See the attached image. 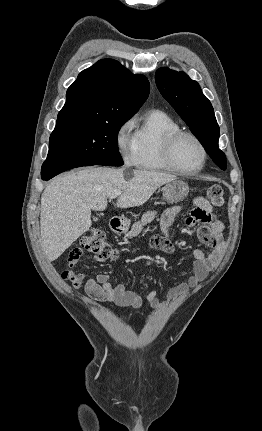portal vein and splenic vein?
Instances as JSON below:
<instances>
[{
  "mask_svg": "<svg viewBox=\"0 0 262 431\" xmlns=\"http://www.w3.org/2000/svg\"><path fill=\"white\" fill-rule=\"evenodd\" d=\"M121 191L120 190H114L113 192H111L110 194H109V199H113V198H116V197H118L119 195H121Z\"/></svg>",
  "mask_w": 262,
  "mask_h": 431,
  "instance_id": "18ae733b",
  "label": "portal vein and splenic vein"
}]
</instances>
